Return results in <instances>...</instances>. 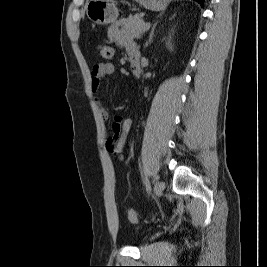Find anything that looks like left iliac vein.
Wrapping results in <instances>:
<instances>
[{
	"mask_svg": "<svg viewBox=\"0 0 267 267\" xmlns=\"http://www.w3.org/2000/svg\"><path fill=\"white\" fill-rule=\"evenodd\" d=\"M164 189H165L164 182H162V181L156 182V184H155V194H156V196H158V197L161 196L163 191H164Z\"/></svg>",
	"mask_w": 267,
	"mask_h": 267,
	"instance_id": "obj_1",
	"label": "left iliac vein"
}]
</instances>
